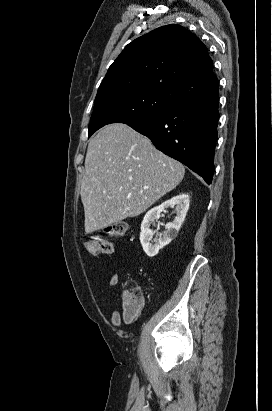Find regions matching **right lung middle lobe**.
Here are the masks:
<instances>
[{
  "label": "right lung middle lobe",
  "instance_id": "1",
  "mask_svg": "<svg viewBox=\"0 0 272 411\" xmlns=\"http://www.w3.org/2000/svg\"><path fill=\"white\" fill-rule=\"evenodd\" d=\"M179 103L169 93L148 88L109 91L96 95L88 128L90 137L109 123L132 124L166 111Z\"/></svg>",
  "mask_w": 272,
  "mask_h": 411
}]
</instances>
